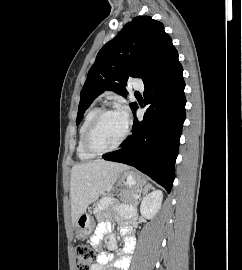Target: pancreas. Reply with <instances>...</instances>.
Returning <instances> with one entry per match:
<instances>
[{
  "instance_id": "cf45deb5",
  "label": "pancreas",
  "mask_w": 242,
  "mask_h": 270,
  "mask_svg": "<svg viewBox=\"0 0 242 270\" xmlns=\"http://www.w3.org/2000/svg\"><path fill=\"white\" fill-rule=\"evenodd\" d=\"M136 195H137V193L135 191L123 190L120 193L121 201L123 203H126V204H129V205L136 207L138 205V201L135 198Z\"/></svg>"
}]
</instances>
